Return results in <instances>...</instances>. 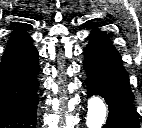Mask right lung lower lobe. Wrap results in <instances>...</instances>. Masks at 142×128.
I'll use <instances>...</instances> for the list:
<instances>
[{
  "mask_svg": "<svg viewBox=\"0 0 142 128\" xmlns=\"http://www.w3.org/2000/svg\"><path fill=\"white\" fill-rule=\"evenodd\" d=\"M40 71L38 52L30 43L0 64V128H35Z\"/></svg>",
  "mask_w": 142,
  "mask_h": 128,
  "instance_id": "obj_1",
  "label": "right lung lower lobe"
}]
</instances>
